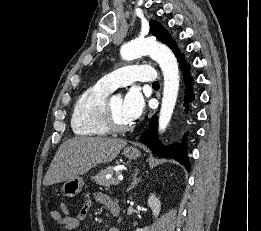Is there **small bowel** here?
Instances as JSON below:
<instances>
[{
  "label": "small bowel",
  "instance_id": "obj_1",
  "mask_svg": "<svg viewBox=\"0 0 261 231\" xmlns=\"http://www.w3.org/2000/svg\"><path fill=\"white\" fill-rule=\"evenodd\" d=\"M96 200L105 206H107L108 203L113 201L109 196L104 194H97ZM91 204H92L91 200L85 201L82 207L80 208V211L77 216H71L69 212H62L60 208H57V209H53L50 212V217L58 225V231L77 230L80 227L85 216L87 215L91 207ZM109 231H120V230L117 228H110Z\"/></svg>",
  "mask_w": 261,
  "mask_h": 231
}]
</instances>
